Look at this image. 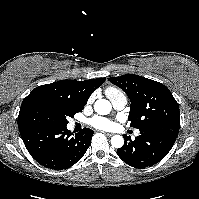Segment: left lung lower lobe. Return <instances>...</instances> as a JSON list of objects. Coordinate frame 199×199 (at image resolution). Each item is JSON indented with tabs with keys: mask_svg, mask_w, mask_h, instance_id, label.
Listing matches in <instances>:
<instances>
[{
	"mask_svg": "<svg viewBox=\"0 0 199 199\" xmlns=\"http://www.w3.org/2000/svg\"><path fill=\"white\" fill-rule=\"evenodd\" d=\"M180 128V120L165 121L140 130L135 140L126 136L118 156L128 165L143 169L161 161L171 150Z\"/></svg>",
	"mask_w": 199,
	"mask_h": 199,
	"instance_id": "1",
	"label": "left lung lower lobe"
}]
</instances>
